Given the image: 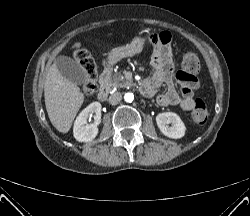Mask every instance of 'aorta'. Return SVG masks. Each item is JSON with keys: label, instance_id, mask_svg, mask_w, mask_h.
Segmentation results:
<instances>
[{"label": "aorta", "instance_id": "762f6f07", "mask_svg": "<svg viewBox=\"0 0 250 216\" xmlns=\"http://www.w3.org/2000/svg\"><path fill=\"white\" fill-rule=\"evenodd\" d=\"M124 99L126 102L131 103L134 100L133 93H126Z\"/></svg>", "mask_w": 250, "mask_h": 216}]
</instances>
